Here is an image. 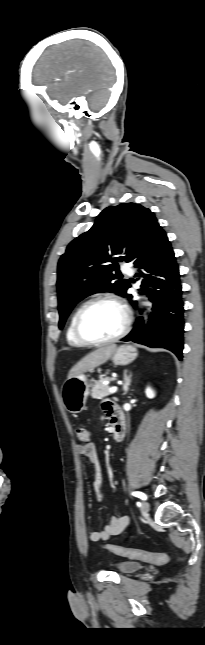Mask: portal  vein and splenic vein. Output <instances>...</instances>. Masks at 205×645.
<instances>
[{
  "instance_id": "1",
  "label": "portal vein and splenic vein",
  "mask_w": 205,
  "mask_h": 645,
  "mask_svg": "<svg viewBox=\"0 0 205 645\" xmlns=\"http://www.w3.org/2000/svg\"><path fill=\"white\" fill-rule=\"evenodd\" d=\"M117 390H118L117 386H113V387H111V388L109 389V392H110V393H116V392H117Z\"/></svg>"
}]
</instances>
